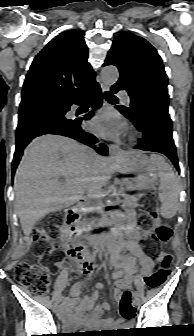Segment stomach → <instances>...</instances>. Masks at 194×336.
<instances>
[{
    "label": "stomach",
    "instance_id": "1",
    "mask_svg": "<svg viewBox=\"0 0 194 336\" xmlns=\"http://www.w3.org/2000/svg\"><path fill=\"white\" fill-rule=\"evenodd\" d=\"M121 166V171L126 174H135L136 182L141 185L140 189L154 186L157 181L156 167L151 160L139 152H126L116 158Z\"/></svg>",
    "mask_w": 194,
    "mask_h": 336
}]
</instances>
